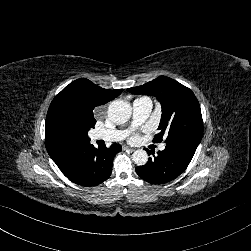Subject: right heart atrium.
Wrapping results in <instances>:
<instances>
[{"label": "right heart atrium", "instance_id": "right-heart-atrium-1", "mask_svg": "<svg viewBox=\"0 0 251 251\" xmlns=\"http://www.w3.org/2000/svg\"><path fill=\"white\" fill-rule=\"evenodd\" d=\"M103 110H104V107H101V108L99 109L100 112H103Z\"/></svg>", "mask_w": 251, "mask_h": 251}]
</instances>
